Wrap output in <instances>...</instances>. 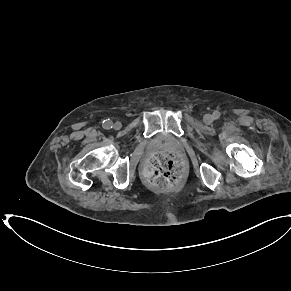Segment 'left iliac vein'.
<instances>
[{
    "label": "left iliac vein",
    "instance_id": "left-iliac-vein-1",
    "mask_svg": "<svg viewBox=\"0 0 291 291\" xmlns=\"http://www.w3.org/2000/svg\"><path fill=\"white\" fill-rule=\"evenodd\" d=\"M203 120L206 124H210L212 121H213V117L212 115L210 114H206L204 117H203Z\"/></svg>",
    "mask_w": 291,
    "mask_h": 291
}]
</instances>
